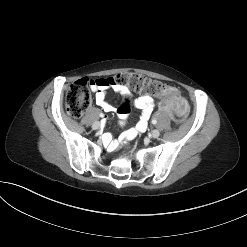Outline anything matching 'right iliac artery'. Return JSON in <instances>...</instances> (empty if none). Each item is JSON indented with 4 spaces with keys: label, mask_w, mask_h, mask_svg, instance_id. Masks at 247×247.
<instances>
[{
    "label": "right iliac artery",
    "mask_w": 247,
    "mask_h": 247,
    "mask_svg": "<svg viewBox=\"0 0 247 247\" xmlns=\"http://www.w3.org/2000/svg\"><path fill=\"white\" fill-rule=\"evenodd\" d=\"M100 116H101V117H104V115H103V114H100Z\"/></svg>",
    "instance_id": "obj_1"
}]
</instances>
